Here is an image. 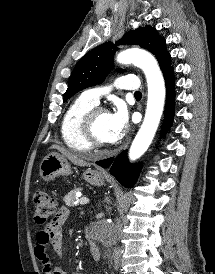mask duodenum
I'll use <instances>...</instances> for the list:
<instances>
[{"instance_id":"duodenum-1","label":"duodenum","mask_w":215,"mask_h":274,"mask_svg":"<svg viewBox=\"0 0 215 274\" xmlns=\"http://www.w3.org/2000/svg\"><path fill=\"white\" fill-rule=\"evenodd\" d=\"M88 241V247L90 250V253L95 261H99L101 259V251L100 248L97 246L95 241L93 240V237L91 235L87 236Z\"/></svg>"}]
</instances>
